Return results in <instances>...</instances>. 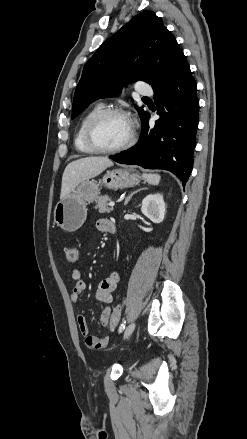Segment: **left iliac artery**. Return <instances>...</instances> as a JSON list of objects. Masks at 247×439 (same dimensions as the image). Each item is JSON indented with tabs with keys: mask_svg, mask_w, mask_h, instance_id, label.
Here are the masks:
<instances>
[{
	"mask_svg": "<svg viewBox=\"0 0 247 439\" xmlns=\"http://www.w3.org/2000/svg\"><path fill=\"white\" fill-rule=\"evenodd\" d=\"M126 321H123L119 327V332H122L125 329Z\"/></svg>",
	"mask_w": 247,
	"mask_h": 439,
	"instance_id": "44dca946",
	"label": "left iliac artery"
}]
</instances>
